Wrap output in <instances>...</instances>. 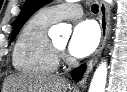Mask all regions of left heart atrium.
I'll return each mask as SVG.
<instances>
[{
  "instance_id": "obj_1",
  "label": "left heart atrium",
  "mask_w": 127,
  "mask_h": 92,
  "mask_svg": "<svg viewBox=\"0 0 127 92\" xmlns=\"http://www.w3.org/2000/svg\"><path fill=\"white\" fill-rule=\"evenodd\" d=\"M99 30L97 25L90 20L78 23L72 32L68 45L71 55L83 58L90 55L99 43Z\"/></svg>"
}]
</instances>
